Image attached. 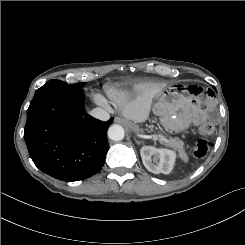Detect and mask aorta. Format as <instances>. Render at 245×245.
I'll return each instance as SVG.
<instances>
[{
    "label": "aorta",
    "mask_w": 245,
    "mask_h": 245,
    "mask_svg": "<svg viewBox=\"0 0 245 245\" xmlns=\"http://www.w3.org/2000/svg\"><path fill=\"white\" fill-rule=\"evenodd\" d=\"M124 129L118 124H114L108 129V137L114 141H120L124 138Z\"/></svg>",
    "instance_id": "762f6f07"
}]
</instances>
